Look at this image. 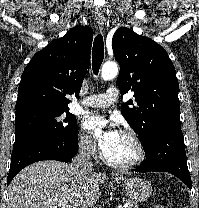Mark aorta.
Returning <instances> with one entry per match:
<instances>
[{"label": "aorta", "mask_w": 199, "mask_h": 208, "mask_svg": "<svg viewBox=\"0 0 199 208\" xmlns=\"http://www.w3.org/2000/svg\"><path fill=\"white\" fill-rule=\"evenodd\" d=\"M118 74V66L114 62H107L103 65L101 70V77L103 80H111L115 78ZM100 130H98L96 133L100 134Z\"/></svg>", "instance_id": "762f6f07"}]
</instances>
